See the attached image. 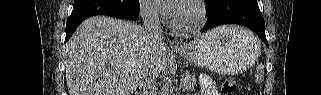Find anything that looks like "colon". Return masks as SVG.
<instances>
[{
	"instance_id": "colon-1",
	"label": "colon",
	"mask_w": 321,
	"mask_h": 95,
	"mask_svg": "<svg viewBox=\"0 0 321 95\" xmlns=\"http://www.w3.org/2000/svg\"><path fill=\"white\" fill-rule=\"evenodd\" d=\"M237 88V81L234 78H228L222 83V93L232 94Z\"/></svg>"
}]
</instances>
